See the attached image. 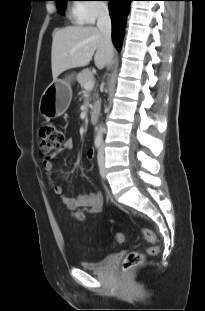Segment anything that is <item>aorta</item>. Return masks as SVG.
<instances>
[{"mask_svg": "<svg viewBox=\"0 0 205 311\" xmlns=\"http://www.w3.org/2000/svg\"><path fill=\"white\" fill-rule=\"evenodd\" d=\"M96 141H102V129L100 128L96 135Z\"/></svg>", "mask_w": 205, "mask_h": 311, "instance_id": "obj_1", "label": "aorta"}]
</instances>
